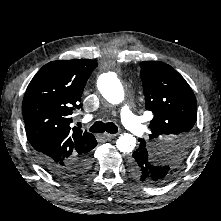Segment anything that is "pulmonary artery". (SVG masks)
Returning a JSON list of instances; mask_svg holds the SVG:
<instances>
[{"label":"pulmonary artery","instance_id":"pulmonary-artery-1","mask_svg":"<svg viewBox=\"0 0 221 221\" xmlns=\"http://www.w3.org/2000/svg\"><path fill=\"white\" fill-rule=\"evenodd\" d=\"M92 117H88L91 119ZM121 118L124 125L135 134H142L144 132V125L142 124L139 117H137L131 111L129 106H123L121 109Z\"/></svg>","mask_w":221,"mask_h":221}]
</instances>
